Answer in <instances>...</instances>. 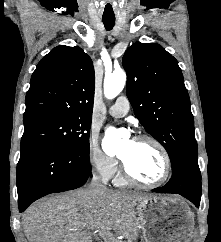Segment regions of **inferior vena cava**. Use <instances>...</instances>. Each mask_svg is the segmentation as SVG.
<instances>
[{
  "label": "inferior vena cava",
  "instance_id": "1",
  "mask_svg": "<svg viewBox=\"0 0 221 242\" xmlns=\"http://www.w3.org/2000/svg\"><path fill=\"white\" fill-rule=\"evenodd\" d=\"M90 189H93V190H97V191H103V190H106V186L101 184L99 181H98V177L96 175H93V178L91 180V184H90Z\"/></svg>",
  "mask_w": 221,
  "mask_h": 242
}]
</instances>
